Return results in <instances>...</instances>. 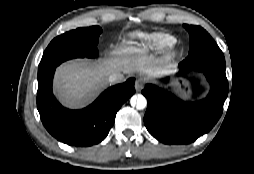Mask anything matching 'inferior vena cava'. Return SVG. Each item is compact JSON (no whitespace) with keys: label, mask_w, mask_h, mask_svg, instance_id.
<instances>
[{"label":"inferior vena cava","mask_w":254,"mask_h":174,"mask_svg":"<svg viewBox=\"0 0 254 174\" xmlns=\"http://www.w3.org/2000/svg\"><path fill=\"white\" fill-rule=\"evenodd\" d=\"M121 80V74L120 73H114L109 76L108 81L110 83L119 82Z\"/></svg>","instance_id":"obj_1"}]
</instances>
